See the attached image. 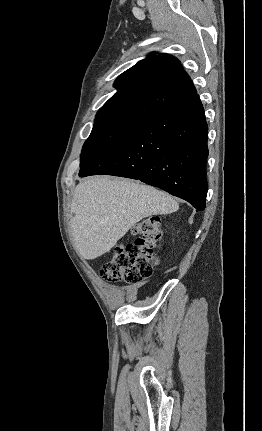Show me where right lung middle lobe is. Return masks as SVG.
Returning a JSON list of instances; mask_svg holds the SVG:
<instances>
[{
	"label": "right lung middle lobe",
	"instance_id": "dd1d6c3e",
	"mask_svg": "<svg viewBox=\"0 0 262 431\" xmlns=\"http://www.w3.org/2000/svg\"><path fill=\"white\" fill-rule=\"evenodd\" d=\"M133 125L128 123L94 125L82 148L80 172L93 165Z\"/></svg>",
	"mask_w": 262,
	"mask_h": 431
}]
</instances>
